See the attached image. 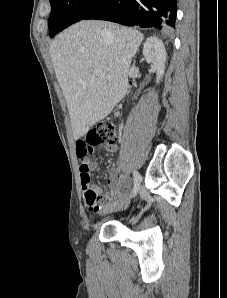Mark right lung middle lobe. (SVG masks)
<instances>
[{
  "label": "right lung middle lobe",
  "mask_w": 227,
  "mask_h": 298,
  "mask_svg": "<svg viewBox=\"0 0 227 298\" xmlns=\"http://www.w3.org/2000/svg\"><path fill=\"white\" fill-rule=\"evenodd\" d=\"M104 1L105 0H50L51 14L48 19L50 36L84 19Z\"/></svg>",
  "instance_id": "1"
}]
</instances>
